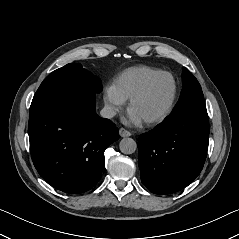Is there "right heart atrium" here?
Wrapping results in <instances>:
<instances>
[{
  "mask_svg": "<svg viewBox=\"0 0 239 239\" xmlns=\"http://www.w3.org/2000/svg\"><path fill=\"white\" fill-rule=\"evenodd\" d=\"M103 102L108 116H114L125 104V99L118 93L114 85L104 88Z\"/></svg>",
  "mask_w": 239,
  "mask_h": 239,
  "instance_id": "obj_1",
  "label": "right heart atrium"
}]
</instances>
